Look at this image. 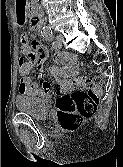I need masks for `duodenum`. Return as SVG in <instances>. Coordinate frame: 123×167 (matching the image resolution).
<instances>
[{
  "label": "duodenum",
  "mask_w": 123,
  "mask_h": 167,
  "mask_svg": "<svg viewBox=\"0 0 123 167\" xmlns=\"http://www.w3.org/2000/svg\"><path fill=\"white\" fill-rule=\"evenodd\" d=\"M31 10H32L33 17H34V19L37 22L36 28L37 29H41V27H42V19H43L41 13L38 12V10L36 9V6L34 4H31Z\"/></svg>",
  "instance_id": "410a0bca"
}]
</instances>
